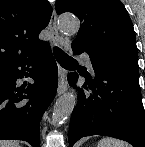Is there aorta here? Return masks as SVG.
Here are the masks:
<instances>
[{"instance_id":"1","label":"aorta","mask_w":145,"mask_h":147,"mask_svg":"<svg viewBox=\"0 0 145 147\" xmlns=\"http://www.w3.org/2000/svg\"><path fill=\"white\" fill-rule=\"evenodd\" d=\"M58 27L62 33L73 34L78 32L80 27L79 20L71 14H64L58 18ZM76 105V96L68 92L62 95L55 103L52 123L54 126H60L72 114Z\"/></svg>"}]
</instances>
